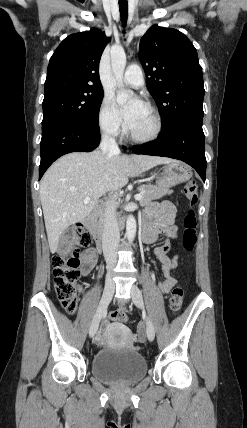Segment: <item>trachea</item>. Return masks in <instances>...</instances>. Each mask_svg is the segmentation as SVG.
Instances as JSON below:
<instances>
[{"instance_id": "3493384b", "label": "trachea", "mask_w": 247, "mask_h": 428, "mask_svg": "<svg viewBox=\"0 0 247 428\" xmlns=\"http://www.w3.org/2000/svg\"><path fill=\"white\" fill-rule=\"evenodd\" d=\"M119 11H120V17L123 26H126L127 17H128V4L126 3H120L119 2Z\"/></svg>"}]
</instances>
